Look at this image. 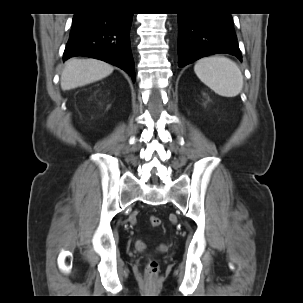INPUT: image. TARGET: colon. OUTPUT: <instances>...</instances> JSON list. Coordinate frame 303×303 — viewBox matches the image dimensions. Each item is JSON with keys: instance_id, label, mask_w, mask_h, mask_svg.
I'll return each instance as SVG.
<instances>
[{"instance_id": "obj_1", "label": "colon", "mask_w": 303, "mask_h": 303, "mask_svg": "<svg viewBox=\"0 0 303 303\" xmlns=\"http://www.w3.org/2000/svg\"><path fill=\"white\" fill-rule=\"evenodd\" d=\"M149 222L151 226L157 227L161 224V219L156 215H152L149 218ZM158 271H159V266L157 261L155 260L150 261L146 268L147 275L150 277H155Z\"/></svg>"}]
</instances>
